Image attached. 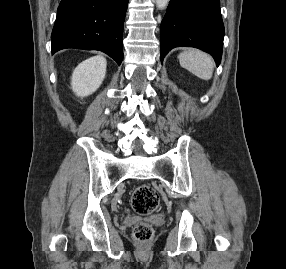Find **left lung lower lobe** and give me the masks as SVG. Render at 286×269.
<instances>
[{
    "mask_svg": "<svg viewBox=\"0 0 286 269\" xmlns=\"http://www.w3.org/2000/svg\"><path fill=\"white\" fill-rule=\"evenodd\" d=\"M160 37L161 62L171 49L189 46L209 53L219 65L224 38L219 0H170Z\"/></svg>",
    "mask_w": 286,
    "mask_h": 269,
    "instance_id": "1",
    "label": "left lung lower lobe"
}]
</instances>
